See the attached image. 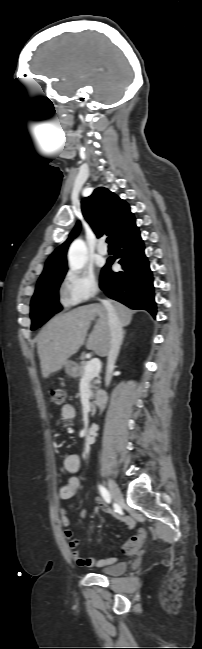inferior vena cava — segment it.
I'll return each mask as SVG.
<instances>
[{"label":"inferior vena cava","mask_w":202,"mask_h":649,"mask_svg":"<svg viewBox=\"0 0 202 649\" xmlns=\"http://www.w3.org/2000/svg\"><path fill=\"white\" fill-rule=\"evenodd\" d=\"M102 304L107 310L109 328H110V346L107 354V371H106V383L110 380L111 373L114 369V365L120 350L123 339V329L122 323L113 307V305L107 301L102 300Z\"/></svg>","instance_id":"obj_1"}]
</instances>
